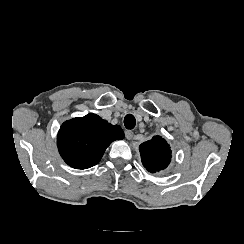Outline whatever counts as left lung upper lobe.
I'll list each match as a JSON object with an SVG mask.
<instances>
[{
    "label": "left lung upper lobe",
    "mask_w": 244,
    "mask_h": 244,
    "mask_svg": "<svg viewBox=\"0 0 244 244\" xmlns=\"http://www.w3.org/2000/svg\"><path fill=\"white\" fill-rule=\"evenodd\" d=\"M139 150L144 167L151 173L167 168L171 161L170 147L161 136L142 143Z\"/></svg>",
    "instance_id": "obj_1"
}]
</instances>
